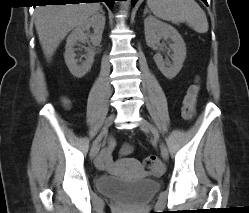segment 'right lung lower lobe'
Wrapping results in <instances>:
<instances>
[{
    "instance_id": "98d812e1",
    "label": "right lung lower lobe",
    "mask_w": 249,
    "mask_h": 213,
    "mask_svg": "<svg viewBox=\"0 0 249 213\" xmlns=\"http://www.w3.org/2000/svg\"><path fill=\"white\" fill-rule=\"evenodd\" d=\"M82 1H97V2L103 1L109 6L110 9H112L115 0H45V2L54 3V4H58V5L59 4H66V3H79Z\"/></svg>"
}]
</instances>
